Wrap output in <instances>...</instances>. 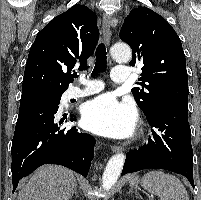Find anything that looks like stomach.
<instances>
[{
  "instance_id": "obj_1",
  "label": "stomach",
  "mask_w": 201,
  "mask_h": 200,
  "mask_svg": "<svg viewBox=\"0 0 201 200\" xmlns=\"http://www.w3.org/2000/svg\"><path fill=\"white\" fill-rule=\"evenodd\" d=\"M140 182V179L138 177H132L129 181L130 185L135 186Z\"/></svg>"
}]
</instances>
